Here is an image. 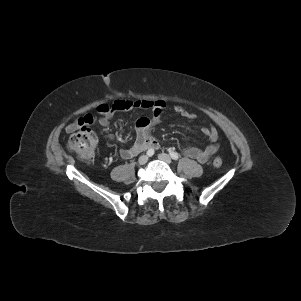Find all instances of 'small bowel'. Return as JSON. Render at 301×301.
<instances>
[{
    "label": "small bowel",
    "instance_id": "c3829d8e",
    "mask_svg": "<svg viewBox=\"0 0 301 301\" xmlns=\"http://www.w3.org/2000/svg\"><path fill=\"white\" fill-rule=\"evenodd\" d=\"M166 104L162 100H126L118 99L111 104H103L98 107V112L100 113V118L98 119V124L107 128L110 125L111 118L117 111H131L134 109H149L152 113L151 118L140 117L135 122V133L136 139L134 144L129 148H124L120 150V156L123 159H130L136 156L138 153L144 150H157L159 148V142L151 135V128L160 122L161 114ZM175 112L185 118L193 119L195 115L186 110L181 106H176L174 108ZM94 117L92 115H85L84 117L78 119L75 122L70 123L66 127V132L71 133L81 128L87 127L94 123ZM203 135H205L210 144L205 148L201 149L198 147H188L184 149V155L197 160L200 163H205L209 158L218 151V133L215 128L204 127L201 129ZM109 138L113 136L108 135Z\"/></svg>",
    "mask_w": 301,
    "mask_h": 301
}]
</instances>
